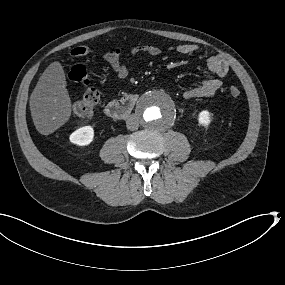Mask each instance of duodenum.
Returning <instances> with one entry per match:
<instances>
[{
	"instance_id": "410a0bca",
	"label": "duodenum",
	"mask_w": 285,
	"mask_h": 285,
	"mask_svg": "<svg viewBox=\"0 0 285 285\" xmlns=\"http://www.w3.org/2000/svg\"><path fill=\"white\" fill-rule=\"evenodd\" d=\"M138 100L137 95H126L119 100L110 101L104 111L105 114L112 119H125L133 111Z\"/></svg>"
}]
</instances>
